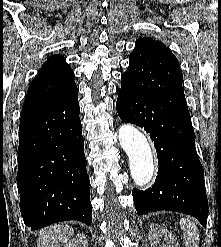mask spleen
I'll use <instances>...</instances> for the list:
<instances>
[{
	"label": "spleen",
	"instance_id": "1",
	"mask_svg": "<svg viewBox=\"0 0 221 247\" xmlns=\"http://www.w3.org/2000/svg\"><path fill=\"white\" fill-rule=\"evenodd\" d=\"M180 227L183 231L185 247H198L199 232L195 222L183 218L180 220Z\"/></svg>",
	"mask_w": 221,
	"mask_h": 247
}]
</instances>
